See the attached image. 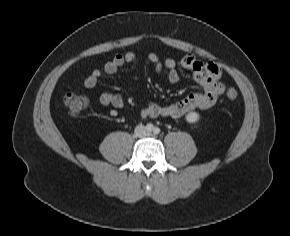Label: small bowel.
I'll use <instances>...</instances> for the list:
<instances>
[{
  "mask_svg": "<svg viewBox=\"0 0 290 236\" xmlns=\"http://www.w3.org/2000/svg\"><path fill=\"white\" fill-rule=\"evenodd\" d=\"M136 61V55L133 52L117 54L112 59L107 61L103 69L93 70L84 80L86 88H94L103 73L115 74L125 64H131ZM148 61L155 66L157 74H162L166 71L167 79L170 83L176 84L180 81V73L178 65L192 72L195 80L201 86L202 90L192 92L179 102L159 105L151 104L141 110L143 118H181L187 113L196 109H209L214 106L219 96L224 91V85L220 80L221 68L214 63L199 62L192 55H185L179 63L174 59H166L161 61L158 55L151 53L148 56ZM99 101L104 106H113L122 108L124 100L119 94L102 93Z\"/></svg>",
  "mask_w": 290,
  "mask_h": 236,
  "instance_id": "c3829d8e",
  "label": "small bowel"
}]
</instances>
